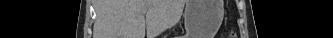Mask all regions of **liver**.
I'll return each instance as SVG.
<instances>
[{"label":"liver","mask_w":333,"mask_h":38,"mask_svg":"<svg viewBox=\"0 0 333 38\" xmlns=\"http://www.w3.org/2000/svg\"><path fill=\"white\" fill-rule=\"evenodd\" d=\"M183 0H147L141 1L138 9V32L141 36L145 34V23L147 25V34H150V28L159 24L162 27L174 22L181 15L183 9ZM144 14H146V21ZM113 11L107 10L100 13L96 24V32L104 36H115L117 31L113 29Z\"/></svg>","instance_id":"obj_1"}]
</instances>
